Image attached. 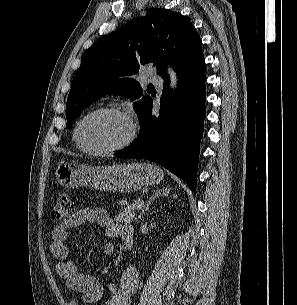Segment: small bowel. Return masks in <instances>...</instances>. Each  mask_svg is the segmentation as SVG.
<instances>
[{"label":"small bowel","instance_id":"c3829d8e","mask_svg":"<svg viewBox=\"0 0 297 305\" xmlns=\"http://www.w3.org/2000/svg\"><path fill=\"white\" fill-rule=\"evenodd\" d=\"M85 222L96 223L105 229L107 237L122 238L124 230L132 229L130 225L117 224L109 212L100 207L84 208L71 217L55 225L51 231L50 251L55 257L56 272L65 282L66 288L78 294L84 302L93 303L102 301L104 305H130L132 296L139 287V273L134 267H127L122 272L116 284L104 288L92 275L79 273L75 262L71 259L69 250L65 245L69 230ZM114 246L107 243L104 253L110 255ZM78 300H71L69 305H78Z\"/></svg>","mask_w":297,"mask_h":305}]
</instances>
